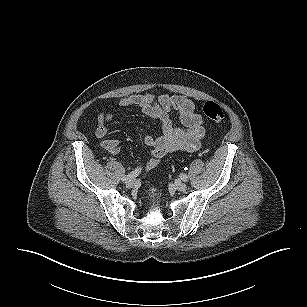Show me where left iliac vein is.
<instances>
[{"mask_svg":"<svg viewBox=\"0 0 307 307\" xmlns=\"http://www.w3.org/2000/svg\"><path fill=\"white\" fill-rule=\"evenodd\" d=\"M171 187L180 192H185L187 190L186 184L181 181H176L174 184L171 185Z\"/></svg>","mask_w":307,"mask_h":307,"instance_id":"1","label":"left iliac vein"}]
</instances>
